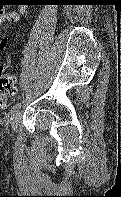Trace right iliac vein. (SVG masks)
<instances>
[{
	"mask_svg": "<svg viewBox=\"0 0 121 197\" xmlns=\"http://www.w3.org/2000/svg\"><path fill=\"white\" fill-rule=\"evenodd\" d=\"M21 118V112L17 111L13 117L10 119V128H11V135H14V132L17 129L18 123L20 121Z\"/></svg>",
	"mask_w": 121,
	"mask_h": 197,
	"instance_id": "obj_1",
	"label": "right iliac vein"
}]
</instances>
